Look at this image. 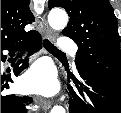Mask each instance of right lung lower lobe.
<instances>
[{
  "label": "right lung lower lobe",
  "instance_id": "obj_1",
  "mask_svg": "<svg viewBox=\"0 0 121 113\" xmlns=\"http://www.w3.org/2000/svg\"><path fill=\"white\" fill-rule=\"evenodd\" d=\"M19 47H25L27 50L34 53L35 51L41 48V38L39 33H34L31 36L23 39L21 42H17L13 45L1 48V61H5L6 56L2 54V51L7 49L11 51L13 54ZM20 60L14 67L15 75L20 74L25 68H27L28 63L27 60ZM4 80L13 82L11 76H7V78H1V92L9 89L8 83L3 84ZM32 99L28 96H17L14 94L10 95H2L1 94V113H27L25 104L31 102Z\"/></svg>",
  "mask_w": 121,
  "mask_h": 113
}]
</instances>
